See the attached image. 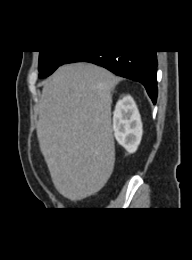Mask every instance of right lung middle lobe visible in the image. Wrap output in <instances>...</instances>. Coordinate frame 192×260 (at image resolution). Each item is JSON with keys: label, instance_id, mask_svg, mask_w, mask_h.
Listing matches in <instances>:
<instances>
[{"label": "right lung middle lobe", "instance_id": "1", "mask_svg": "<svg viewBox=\"0 0 192 260\" xmlns=\"http://www.w3.org/2000/svg\"><path fill=\"white\" fill-rule=\"evenodd\" d=\"M70 52L68 51H40L39 55V78L52 74Z\"/></svg>", "mask_w": 192, "mask_h": 260}]
</instances>
